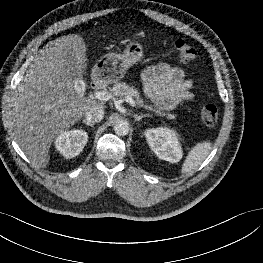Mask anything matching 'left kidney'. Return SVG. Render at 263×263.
<instances>
[{
  "label": "left kidney",
  "mask_w": 263,
  "mask_h": 263,
  "mask_svg": "<svg viewBox=\"0 0 263 263\" xmlns=\"http://www.w3.org/2000/svg\"><path fill=\"white\" fill-rule=\"evenodd\" d=\"M145 136L158 158L171 163L182 158V149L174 130L166 127L152 128L145 131Z\"/></svg>",
  "instance_id": "1"
}]
</instances>
